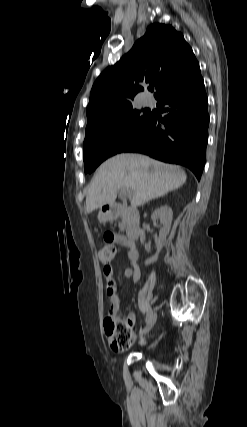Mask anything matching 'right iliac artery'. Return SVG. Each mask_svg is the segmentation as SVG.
<instances>
[{
    "instance_id": "1",
    "label": "right iliac artery",
    "mask_w": 247,
    "mask_h": 427,
    "mask_svg": "<svg viewBox=\"0 0 247 427\" xmlns=\"http://www.w3.org/2000/svg\"><path fill=\"white\" fill-rule=\"evenodd\" d=\"M151 314H152V312H151V311H149V312L147 313L146 321L149 319V317L151 316Z\"/></svg>"
}]
</instances>
